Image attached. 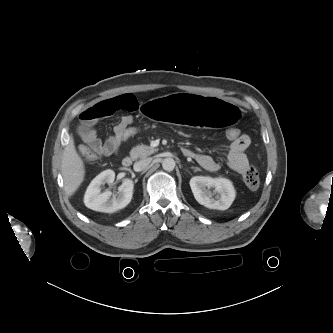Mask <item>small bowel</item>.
Masks as SVG:
<instances>
[{"instance_id": "small-bowel-1", "label": "small bowel", "mask_w": 333, "mask_h": 333, "mask_svg": "<svg viewBox=\"0 0 333 333\" xmlns=\"http://www.w3.org/2000/svg\"><path fill=\"white\" fill-rule=\"evenodd\" d=\"M138 101L132 94H123L109 99L102 100L96 104L85 108L79 114L82 123L79 128V134L84 142L80 148L89 149L97 152L99 155L110 156L116 154L120 148L122 140L117 131L119 128L132 124L134 118L132 115H124L114 127V134L105 142H102L93 131V126L102 118L113 115L118 111L134 112L138 109ZM250 146V138L242 135L239 139L232 141L228 152V166L239 174H244L249 166L246 150ZM192 152V151H191ZM192 158L207 171H217L219 166L215 160L207 154L192 152Z\"/></svg>"}]
</instances>
